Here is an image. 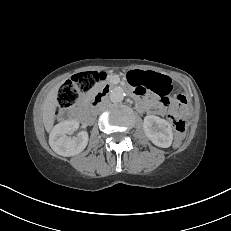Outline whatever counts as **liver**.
Returning a JSON list of instances; mask_svg holds the SVG:
<instances>
[{"instance_id":"1","label":"liver","mask_w":231,"mask_h":231,"mask_svg":"<svg viewBox=\"0 0 231 231\" xmlns=\"http://www.w3.org/2000/svg\"><path fill=\"white\" fill-rule=\"evenodd\" d=\"M62 83L57 84L54 86L50 92L47 94L46 98L44 99L42 105V117H43V124L47 132H50L53 128V124L55 121V112L58 106V90Z\"/></svg>"}]
</instances>
